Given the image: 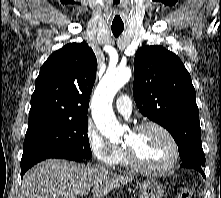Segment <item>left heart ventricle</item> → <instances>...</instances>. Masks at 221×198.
I'll list each match as a JSON object with an SVG mask.
<instances>
[{
	"label": "left heart ventricle",
	"instance_id": "left-heart-ventricle-1",
	"mask_svg": "<svg viewBox=\"0 0 221 198\" xmlns=\"http://www.w3.org/2000/svg\"><path fill=\"white\" fill-rule=\"evenodd\" d=\"M124 145L133 148L137 159L147 167L164 166L172 157L170 141L155 128L145 129L138 134L131 131Z\"/></svg>",
	"mask_w": 221,
	"mask_h": 198
}]
</instances>
